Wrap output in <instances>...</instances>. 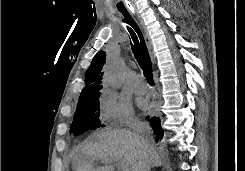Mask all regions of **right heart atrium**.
Listing matches in <instances>:
<instances>
[{"mask_svg":"<svg viewBox=\"0 0 245 171\" xmlns=\"http://www.w3.org/2000/svg\"><path fill=\"white\" fill-rule=\"evenodd\" d=\"M99 118L106 126L131 127L137 124L130 106L110 91H105L99 99Z\"/></svg>","mask_w":245,"mask_h":171,"instance_id":"right-heart-atrium-1","label":"right heart atrium"}]
</instances>
